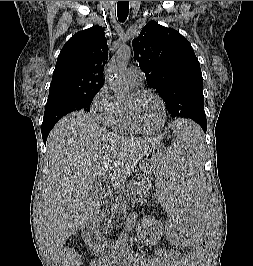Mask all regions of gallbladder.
<instances>
[{"label": "gallbladder", "mask_w": 253, "mask_h": 266, "mask_svg": "<svg viewBox=\"0 0 253 266\" xmlns=\"http://www.w3.org/2000/svg\"><path fill=\"white\" fill-rule=\"evenodd\" d=\"M95 188H98V185H96ZM91 226L90 223H88L83 229H82V234H84V232Z\"/></svg>", "instance_id": "gallbladder-1"}]
</instances>
